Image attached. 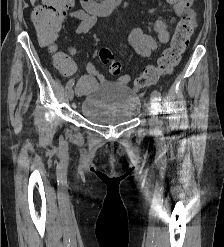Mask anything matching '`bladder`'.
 Listing matches in <instances>:
<instances>
[{
  "label": "bladder",
  "instance_id": "31cf9c89",
  "mask_svg": "<svg viewBox=\"0 0 224 247\" xmlns=\"http://www.w3.org/2000/svg\"><path fill=\"white\" fill-rule=\"evenodd\" d=\"M139 98L130 87L103 83L82 100L80 112L89 122L100 126L126 123L138 112Z\"/></svg>",
  "mask_w": 224,
  "mask_h": 247
}]
</instances>
